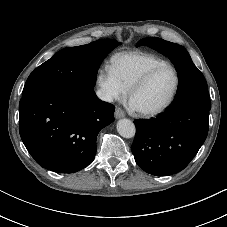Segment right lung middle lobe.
<instances>
[{
    "instance_id": "right-lung-middle-lobe-1",
    "label": "right lung middle lobe",
    "mask_w": 227,
    "mask_h": 227,
    "mask_svg": "<svg viewBox=\"0 0 227 227\" xmlns=\"http://www.w3.org/2000/svg\"><path fill=\"white\" fill-rule=\"evenodd\" d=\"M118 44L116 40L103 39L58 51L30 74L22 95L54 86L93 88L101 62Z\"/></svg>"
}]
</instances>
